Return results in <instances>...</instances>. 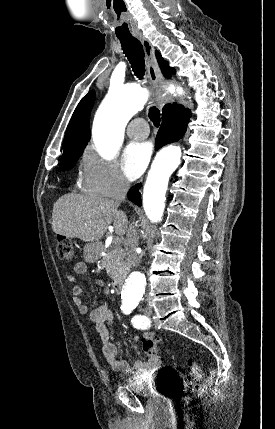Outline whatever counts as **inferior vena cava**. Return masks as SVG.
Returning <instances> with one entry per match:
<instances>
[{
  "label": "inferior vena cava",
  "mask_w": 275,
  "mask_h": 429,
  "mask_svg": "<svg viewBox=\"0 0 275 429\" xmlns=\"http://www.w3.org/2000/svg\"><path fill=\"white\" fill-rule=\"evenodd\" d=\"M129 187H130L129 182H127L124 178H121L117 186L113 200L119 203L124 201ZM138 240H139L138 233L135 228L134 222H132L131 224H129V227L127 228V231H126L124 247L126 252L127 263L135 267H137L140 263V256L136 253Z\"/></svg>",
  "instance_id": "1"
}]
</instances>
